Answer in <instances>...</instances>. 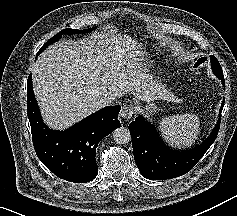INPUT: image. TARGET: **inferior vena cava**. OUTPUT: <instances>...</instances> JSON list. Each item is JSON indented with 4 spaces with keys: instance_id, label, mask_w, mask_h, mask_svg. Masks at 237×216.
<instances>
[{
    "instance_id": "1",
    "label": "inferior vena cava",
    "mask_w": 237,
    "mask_h": 216,
    "mask_svg": "<svg viewBox=\"0 0 237 216\" xmlns=\"http://www.w3.org/2000/svg\"><path fill=\"white\" fill-rule=\"evenodd\" d=\"M100 103L102 107L117 105V94L110 91L106 92L105 95L101 96Z\"/></svg>"
}]
</instances>
